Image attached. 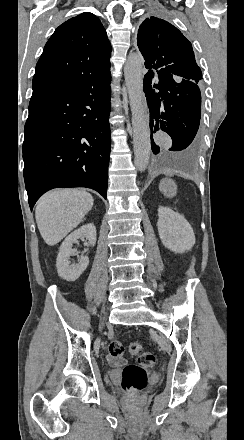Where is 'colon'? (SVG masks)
I'll return each instance as SVG.
<instances>
[{
  "label": "colon",
  "mask_w": 244,
  "mask_h": 440,
  "mask_svg": "<svg viewBox=\"0 0 244 440\" xmlns=\"http://www.w3.org/2000/svg\"><path fill=\"white\" fill-rule=\"evenodd\" d=\"M109 354L115 358L124 355V345L120 341H111L108 344ZM128 352L131 356L137 357V365H127L122 374L121 386L124 392L136 397L148 386L147 368L152 367L156 362L153 353L145 351L141 342H131L128 346Z\"/></svg>",
  "instance_id": "colon-1"
}]
</instances>
